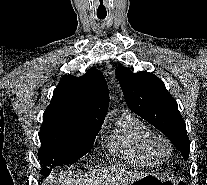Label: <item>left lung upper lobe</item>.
I'll return each mask as SVG.
<instances>
[{
	"label": "left lung upper lobe",
	"mask_w": 207,
	"mask_h": 185,
	"mask_svg": "<svg viewBox=\"0 0 207 185\" xmlns=\"http://www.w3.org/2000/svg\"><path fill=\"white\" fill-rule=\"evenodd\" d=\"M125 101L131 111L163 132L173 145L188 159L190 142L178 104L165 84L154 74L133 73L123 66L116 68Z\"/></svg>",
	"instance_id": "5c2ea615"
}]
</instances>
